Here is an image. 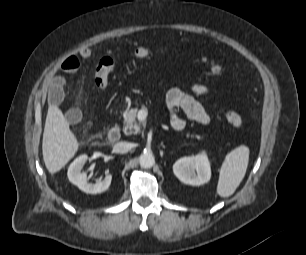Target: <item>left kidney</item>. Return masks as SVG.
Instances as JSON below:
<instances>
[{"instance_id":"left-kidney-1","label":"left kidney","mask_w":306,"mask_h":255,"mask_svg":"<svg viewBox=\"0 0 306 255\" xmlns=\"http://www.w3.org/2000/svg\"><path fill=\"white\" fill-rule=\"evenodd\" d=\"M175 176L183 183L200 186L207 183L211 178V168L206 153L183 157L173 165Z\"/></svg>"}]
</instances>
